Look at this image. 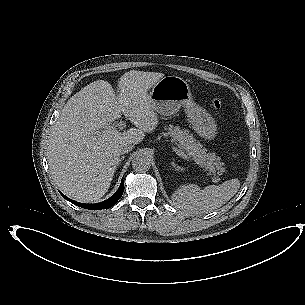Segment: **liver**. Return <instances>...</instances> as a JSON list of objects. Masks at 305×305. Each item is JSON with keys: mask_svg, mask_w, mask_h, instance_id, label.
I'll return each mask as SVG.
<instances>
[{"mask_svg": "<svg viewBox=\"0 0 305 305\" xmlns=\"http://www.w3.org/2000/svg\"><path fill=\"white\" fill-rule=\"evenodd\" d=\"M163 76L156 74L152 85ZM122 113L137 129L104 132ZM157 125V114L143 88L123 85L115 93L107 81L90 83L67 101L51 129L47 157L53 180L77 201H99L119 165L120 142L138 144Z\"/></svg>", "mask_w": 305, "mask_h": 305, "instance_id": "liver-1", "label": "liver"}]
</instances>
